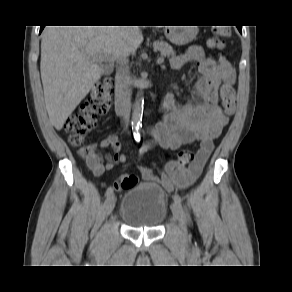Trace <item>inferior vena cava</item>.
Listing matches in <instances>:
<instances>
[{
  "label": "inferior vena cava",
  "mask_w": 292,
  "mask_h": 292,
  "mask_svg": "<svg viewBox=\"0 0 292 292\" xmlns=\"http://www.w3.org/2000/svg\"><path fill=\"white\" fill-rule=\"evenodd\" d=\"M118 74V97L120 98L122 106L124 107L122 117L124 123L127 125L129 121V107L131 101L130 73L127 66V56H123L119 60Z\"/></svg>",
  "instance_id": "1"
}]
</instances>
